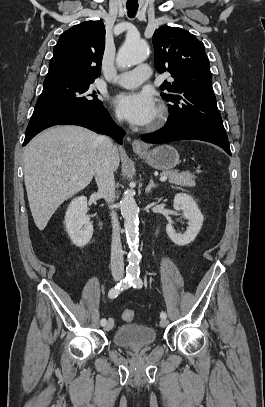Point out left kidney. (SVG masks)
Wrapping results in <instances>:
<instances>
[{
    "mask_svg": "<svg viewBox=\"0 0 265 407\" xmlns=\"http://www.w3.org/2000/svg\"><path fill=\"white\" fill-rule=\"evenodd\" d=\"M174 209L182 210L188 220L186 231L177 233L171 224L166 226L168 237L178 246H185L194 241L201 230L203 224V215L194 199L185 193H178L174 197Z\"/></svg>",
    "mask_w": 265,
    "mask_h": 407,
    "instance_id": "left-kidney-1",
    "label": "left kidney"
}]
</instances>
